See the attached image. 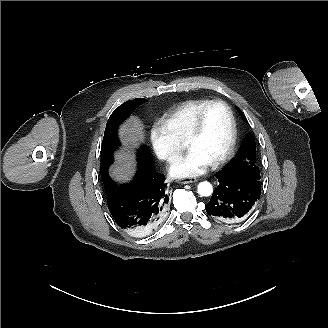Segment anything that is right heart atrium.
<instances>
[{"label":"right heart atrium","instance_id":"right-heart-atrium-1","mask_svg":"<svg viewBox=\"0 0 328 328\" xmlns=\"http://www.w3.org/2000/svg\"><path fill=\"white\" fill-rule=\"evenodd\" d=\"M148 135L155 155L164 162L172 161L182 150V145L171 136L159 121L150 125Z\"/></svg>","mask_w":328,"mask_h":328}]
</instances>
